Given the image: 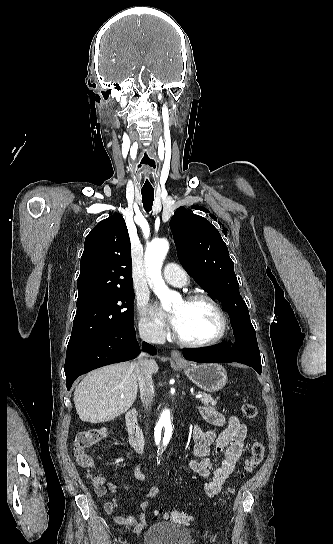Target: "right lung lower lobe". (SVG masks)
Listing matches in <instances>:
<instances>
[{"instance_id":"obj_1","label":"right lung lower lobe","mask_w":333,"mask_h":544,"mask_svg":"<svg viewBox=\"0 0 333 544\" xmlns=\"http://www.w3.org/2000/svg\"><path fill=\"white\" fill-rule=\"evenodd\" d=\"M142 349L152 355L156 354L155 347L146 342H143ZM139 352L133 324L67 352L64 366L67 390H70L74 380L80 375L105 365L131 360Z\"/></svg>"}]
</instances>
